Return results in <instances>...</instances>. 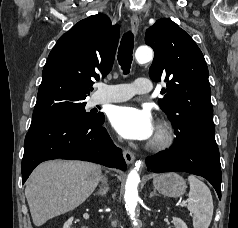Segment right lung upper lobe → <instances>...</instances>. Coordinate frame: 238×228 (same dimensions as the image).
<instances>
[{
	"label": "right lung upper lobe",
	"mask_w": 238,
	"mask_h": 228,
	"mask_svg": "<svg viewBox=\"0 0 238 228\" xmlns=\"http://www.w3.org/2000/svg\"><path fill=\"white\" fill-rule=\"evenodd\" d=\"M119 26L104 14L79 21L51 50L42 73L33 117L84 102L92 85L111 70Z\"/></svg>",
	"instance_id": "obj_1"
}]
</instances>
